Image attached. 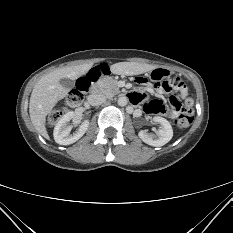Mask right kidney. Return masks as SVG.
I'll return each mask as SVG.
<instances>
[{
    "mask_svg": "<svg viewBox=\"0 0 233 233\" xmlns=\"http://www.w3.org/2000/svg\"><path fill=\"white\" fill-rule=\"evenodd\" d=\"M73 111L66 113L56 124L53 135L56 143L60 145H70L78 141L87 131L89 121L85 120L79 126V129L72 135L70 134L72 126H68V122L75 118Z\"/></svg>",
    "mask_w": 233,
    "mask_h": 233,
    "instance_id": "obj_1",
    "label": "right kidney"
}]
</instances>
